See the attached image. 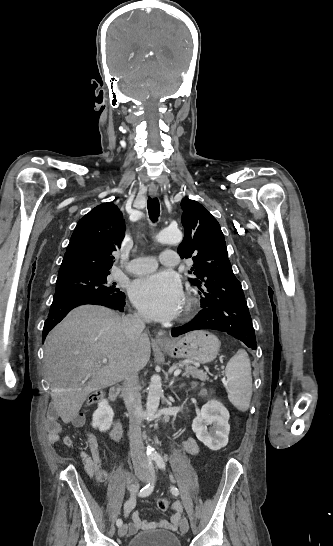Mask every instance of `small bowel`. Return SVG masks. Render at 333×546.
<instances>
[{"label":"small bowel","mask_w":333,"mask_h":546,"mask_svg":"<svg viewBox=\"0 0 333 546\" xmlns=\"http://www.w3.org/2000/svg\"><path fill=\"white\" fill-rule=\"evenodd\" d=\"M74 425L80 426L83 423V417L78 416L74 421ZM48 440L50 444L56 446L62 442L66 447L74 449V443L71 438L62 433L60 424L56 418L49 420L48 426ZM88 442L90 445V454L81 452V457L83 459L86 472L95 478L96 481L101 480L106 475V470L103 467L102 460L99 454L98 443L96 437L92 433H88ZM184 449L191 455H196L199 453V445L193 438H188L183 443ZM136 501L134 498H130L126 501L124 505V515L132 517V522L128 525V531L131 534L136 533L139 529L143 527H148L154 525L153 522H147L140 518L138 512L134 511ZM173 510L175 511L169 521H161L159 525L163 528L169 530H175L180 524V516L182 511V506L180 502H175L173 505Z\"/></svg>","instance_id":"1"}]
</instances>
